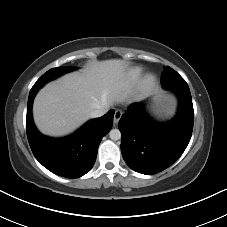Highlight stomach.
I'll return each mask as SVG.
<instances>
[{
  "instance_id": "0dacf381",
  "label": "stomach",
  "mask_w": 227,
  "mask_h": 227,
  "mask_svg": "<svg viewBox=\"0 0 227 227\" xmlns=\"http://www.w3.org/2000/svg\"><path fill=\"white\" fill-rule=\"evenodd\" d=\"M175 109V100L172 96H161L155 100L153 112L160 118L169 117Z\"/></svg>"
}]
</instances>
